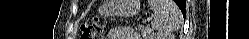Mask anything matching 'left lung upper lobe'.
Wrapping results in <instances>:
<instances>
[{
	"mask_svg": "<svg viewBox=\"0 0 249 39\" xmlns=\"http://www.w3.org/2000/svg\"><path fill=\"white\" fill-rule=\"evenodd\" d=\"M178 5H179V7H180V6H183V2H179V4H178Z\"/></svg>",
	"mask_w": 249,
	"mask_h": 39,
	"instance_id": "left-lung-upper-lobe-1",
	"label": "left lung upper lobe"
}]
</instances>
